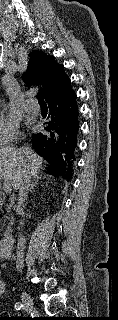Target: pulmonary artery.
Instances as JSON below:
<instances>
[{"label":"pulmonary artery","mask_w":118,"mask_h":320,"mask_svg":"<svg viewBox=\"0 0 118 320\" xmlns=\"http://www.w3.org/2000/svg\"><path fill=\"white\" fill-rule=\"evenodd\" d=\"M24 110L27 113L34 114L39 111V106L35 101H26L24 103Z\"/></svg>","instance_id":"obj_1"}]
</instances>
